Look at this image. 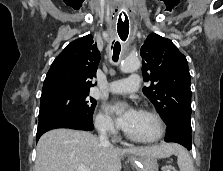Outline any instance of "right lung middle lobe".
I'll list each match as a JSON object with an SVG mask.
<instances>
[{
	"label": "right lung middle lobe",
	"mask_w": 223,
	"mask_h": 171,
	"mask_svg": "<svg viewBox=\"0 0 223 171\" xmlns=\"http://www.w3.org/2000/svg\"><path fill=\"white\" fill-rule=\"evenodd\" d=\"M96 100L89 92H64L40 100L39 120L56 113H73L93 121Z\"/></svg>",
	"instance_id": "dd1d6c3e"
}]
</instances>
